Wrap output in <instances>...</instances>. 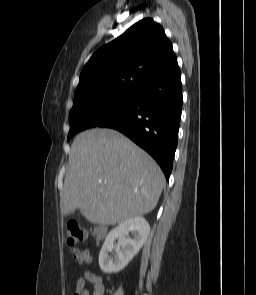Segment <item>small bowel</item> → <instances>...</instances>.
<instances>
[{
  "mask_svg": "<svg viewBox=\"0 0 256 295\" xmlns=\"http://www.w3.org/2000/svg\"><path fill=\"white\" fill-rule=\"evenodd\" d=\"M86 281L90 282L93 285V295H104L105 288L102 282L100 275L93 271L85 272L78 280L76 285V291L84 289V295H87L85 290Z\"/></svg>",
  "mask_w": 256,
  "mask_h": 295,
  "instance_id": "obj_1",
  "label": "small bowel"
}]
</instances>
